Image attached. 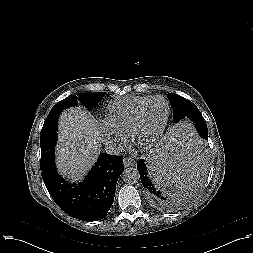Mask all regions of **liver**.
I'll use <instances>...</instances> for the list:
<instances>
[{
  "label": "liver",
  "mask_w": 253,
  "mask_h": 253,
  "mask_svg": "<svg viewBox=\"0 0 253 253\" xmlns=\"http://www.w3.org/2000/svg\"><path fill=\"white\" fill-rule=\"evenodd\" d=\"M58 130V170L70 180L77 181L83 178L101 150L97 123L85 109L70 108L62 112Z\"/></svg>",
  "instance_id": "obj_1"
}]
</instances>
